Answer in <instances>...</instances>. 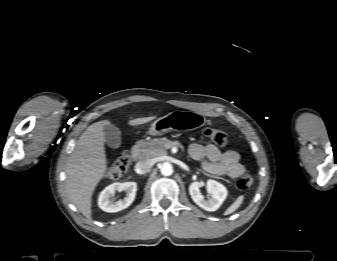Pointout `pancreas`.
<instances>
[{"label":"pancreas","instance_id":"pancreas-1","mask_svg":"<svg viewBox=\"0 0 337 261\" xmlns=\"http://www.w3.org/2000/svg\"><path fill=\"white\" fill-rule=\"evenodd\" d=\"M178 144V142H172L167 138L151 139L148 141H139L138 146L140 148L141 158H154L158 156L166 155V144Z\"/></svg>","mask_w":337,"mask_h":261}]
</instances>
